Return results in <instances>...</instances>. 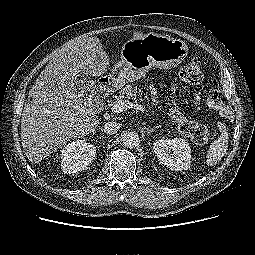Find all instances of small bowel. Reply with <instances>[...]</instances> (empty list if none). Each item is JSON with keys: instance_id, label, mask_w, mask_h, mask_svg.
Instances as JSON below:
<instances>
[{"instance_id": "1", "label": "small bowel", "mask_w": 255, "mask_h": 255, "mask_svg": "<svg viewBox=\"0 0 255 255\" xmlns=\"http://www.w3.org/2000/svg\"><path fill=\"white\" fill-rule=\"evenodd\" d=\"M150 93H151L153 101L157 102V89H156V87L154 85L150 86ZM209 107H211V108H220V107H222V104L220 102V104L218 106H216V107L211 106V105H209Z\"/></svg>"}]
</instances>
